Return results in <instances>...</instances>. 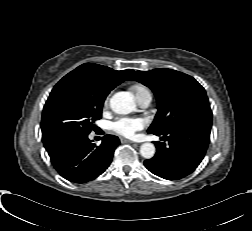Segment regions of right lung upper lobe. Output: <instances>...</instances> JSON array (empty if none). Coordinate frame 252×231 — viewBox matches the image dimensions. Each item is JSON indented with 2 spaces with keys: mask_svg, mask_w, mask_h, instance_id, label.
Returning <instances> with one entry per match:
<instances>
[{
  "mask_svg": "<svg viewBox=\"0 0 252 231\" xmlns=\"http://www.w3.org/2000/svg\"><path fill=\"white\" fill-rule=\"evenodd\" d=\"M133 70L115 71L109 67L85 63L68 73L61 80L78 78L93 87L105 90L108 93L122 83Z\"/></svg>",
  "mask_w": 252,
  "mask_h": 231,
  "instance_id": "obj_1",
  "label": "right lung upper lobe"
}]
</instances>
